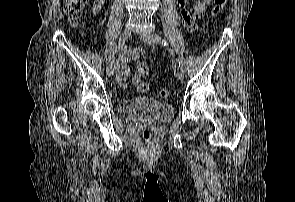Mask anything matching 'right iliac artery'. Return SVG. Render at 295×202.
<instances>
[{"instance_id":"82829eb1","label":"right iliac artery","mask_w":295,"mask_h":202,"mask_svg":"<svg viewBox=\"0 0 295 202\" xmlns=\"http://www.w3.org/2000/svg\"><path fill=\"white\" fill-rule=\"evenodd\" d=\"M123 48V45L121 46V49ZM120 50V46L119 47H116L115 50L110 54L109 56V64H112L113 61H114V55L115 53Z\"/></svg>"}]
</instances>
